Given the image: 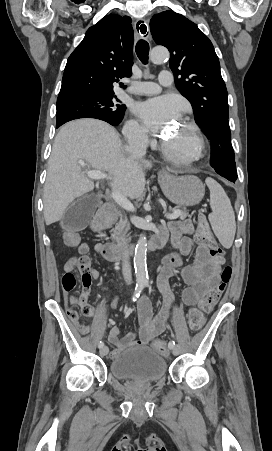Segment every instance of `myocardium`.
Returning <instances> with one entry per match:
<instances>
[{"label":"myocardium","mask_w":272,"mask_h":451,"mask_svg":"<svg viewBox=\"0 0 272 451\" xmlns=\"http://www.w3.org/2000/svg\"><path fill=\"white\" fill-rule=\"evenodd\" d=\"M183 125L190 132V141L187 146H175L170 148L164 143L166 152L171 153V157L178 161H196L202 157L203 141L200 137L198 128L191 122L183 121Z\"/></svg>","instance_id":"myocardium-1"}]
</instances>
